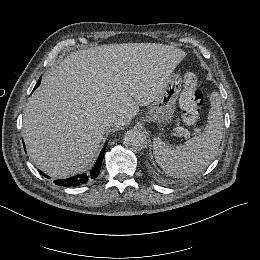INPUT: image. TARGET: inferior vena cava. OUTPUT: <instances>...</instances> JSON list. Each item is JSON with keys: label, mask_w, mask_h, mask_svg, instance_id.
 <instances>
[{"label": "inferior vena cava", "mask_w": 260, "mask_h": 260, "mask_svg": "<svg viewBox=\"0 0 260 260\" xmlns=\"http://www.w3.org/2000/svg\"><path fill=\"white\" fill-rule=\"evenodd\" d=\"M116 121V118L115 117H112L110 119L107 120V123H108V127H110L111 125H113Z\"/></svg>", "instance_id": "inferior-vena-cava-1"}]
</instances>
